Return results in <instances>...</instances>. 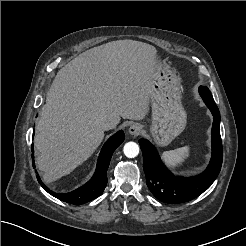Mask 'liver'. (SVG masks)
I'll return each mask as SVG.
<instances>
[{
    "label": "liver",
    "mask_w": 246,
    "mask_h": 246,
    "mask_svg": "<svg viewBox=\"0 0 246 246\" xmlns=\"http://www.w3.org/2000/svg\"><path fill=\"white\" fill-rule=\"evenodd\" d=\"M154 46L117 40L91 48L57 73L34 138L36 164L47 182L71 173L104 138L101 123L142 120L158 66Z\"/></svg>",
    "instance_id": "liver-1"
}]
</instances>
